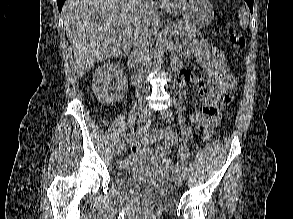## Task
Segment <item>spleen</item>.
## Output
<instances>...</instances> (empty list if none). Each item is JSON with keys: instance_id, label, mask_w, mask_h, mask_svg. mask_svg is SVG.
Here are the masks:
<instances>
[{"instance_id": "obj_1", "label": "spleen", "mask_w": 293, "mask_h": 219, "mask_svg": "<svg viewBox=\"0 0 293 219\" xmlns=\"http://www.w3.org/2000/svg\"><path fill=\"white\" fill-rule=\"evenodd\" d=\"M239 19H240V25L243 29H246L249 24V17L245 10V8L241 7L239 10Z\"/></svg>"}]
</instances>
